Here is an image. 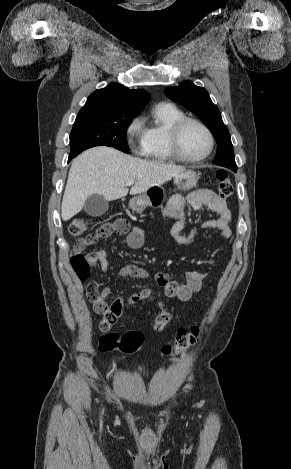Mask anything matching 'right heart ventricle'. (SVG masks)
Here are the masks:
<instances>
[{
  "label": "right heart ventricle",
  "mask_w": 291,
  "mask_h": 469,
  "mask_svg": "<svg viewBox=\"0 0 291 469\" xmlns=\"http://www.w3.org/2000/svg\"><path fill=\"white\" fill-rule=\"evenodd\" d=\"M183 117L184 113L172 104L157 105L152 111L151 120L144 126L142 155L157 162L175 161L169 146V131L172 125Z\"/></svg>",
  "instance_id": "obj_1"
}]
</instances>
